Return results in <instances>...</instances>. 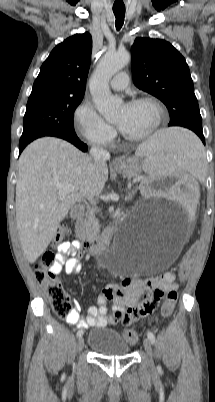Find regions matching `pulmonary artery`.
Here are the masks:
<instances>
[{
    "label": "pulmonary artery",
    "instance_id": "obj_1",
    "mask_svg": "<svg viewBox=\"0 0 215 402\" xmlns=\"http://www.w3.org/2000/svg\"><path fill=\"white\" fill-rule=\"evenodd\" d=\"M128 83V74L126 72H120L112 78L110 85L114 90H123L127 87Z\"/></svg>",
    "mask_w": 215,
    "mask_h": 402
}]
</instances>
